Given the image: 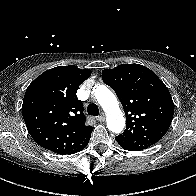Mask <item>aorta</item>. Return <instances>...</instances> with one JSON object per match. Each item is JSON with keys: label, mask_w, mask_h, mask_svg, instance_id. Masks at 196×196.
Masks as SVG:
<instances>
[{"label": "aorta", "mask_w": 196, "mask_h": 196, "mask_svg": "<svg viewBox=\"0 0 196 196\" xmlns=\"http://www.w3.org/2000/svg\"><path fill=\"white\" fill-rule=\"evenodd\" d=\"M95 98L107 115V127L114 133H121L125 127V119L119 108L116 96L104 85L94 87Z\"/></svg>", "instance_id": "1"}]
</instances>
